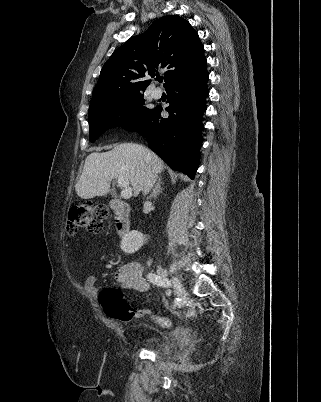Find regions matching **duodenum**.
<instances>
[{
  "mask_svg": "<svg viewBox=\"0 0 321 402\" xmlns=\"http://www.w3.org/2000/svg\"><path fill=\"white\" fill-rule=\"evenodd\" d=\"M109 206L115 215V229L120 236H126L131 229L129 206L118 199L109 202Z\"/></svg>",
  "mask_w": 321,
  "mask_h": 402,
  "instance_id": "410a0bca",
  "label": "duodenum"
}]
</instances>
